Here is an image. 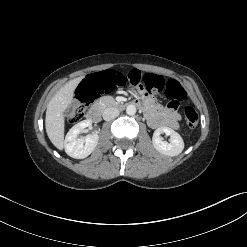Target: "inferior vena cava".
<instances>
[{
  "instance_id": "602c4592",
  "label": "inferior vena cava",
  "mask_w": 247,
  "mask_h": 247,
  "mask_svg": "<svg viewBox=\"0 0 247 247\" xmlns=\"http://www.w3.org/2000/svg\"><path fill=\"white\" fill-rule=\"evenodd\" d=\"M119 115V110L113 107H108L103 111V119L110 121Z\"/></svg>"
}]
</instances>
